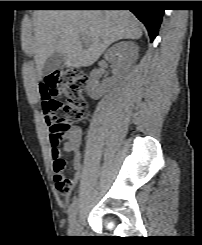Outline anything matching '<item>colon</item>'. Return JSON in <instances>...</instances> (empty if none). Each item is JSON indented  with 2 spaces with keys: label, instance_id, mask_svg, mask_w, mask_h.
<instances>
[{
  "label": "colon",
  "instance_id": "obj_1",
  "mask_svg": "<svg viewBox=\"0 0 202 245\" xmlns=\"http://www.w3.org/2000/svg\"><path fill=\"white\" fill-rule=\"evenodd\" d=\"M44 84L53 89L54 94L59 98L55 105L43 102L49 141L53 148H58L63 139V133L71 128V122L83 115L86 106L88 75L78 68L54 70L46 75ZM58 107L64 110L61 117L55 115Z\"/></svg>",
  "mask_w": 202,
  "mask_h": 245
}]
</instances>
